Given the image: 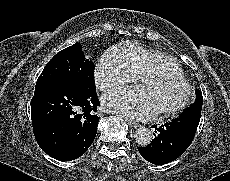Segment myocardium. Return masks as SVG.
I'll use <instances>...</instances> for the list:
<instances>
[{
    "label": "myocardium",
    "mask_w": 230,
    "mask_h": 181,
    "mask_svg": "<svg viewBox=\"0 0 230 181\" xmlns=\"http://www.w3.org/2000/svg\"><path fill=\"white\" fill-rule=\"evenodd\" d=\"M153 80L177 82L184 87V94L180 101L172 107L156 110L157 114L173 115L180 112L188 105L191 99L192 89L190 83L183 76H176L167 72H149L140 77L138 87L142 89L146 84Z\"/></svg>",
    "instance_id": "myocardium-1"
}]
</instances>
